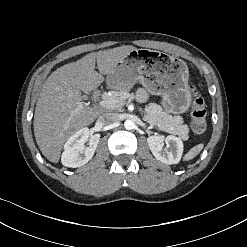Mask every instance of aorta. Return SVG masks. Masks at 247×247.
<instances>
[{"mask_svg": "<svg viewBox=\"0 0 247 247\" xmlns=\"http://www.w3.org/2000/svg\"><path fill=\"white\" fill-rule=\"evenodd\" d=\"M124 127H125L127 130H131V129H133V128L135 127V123H134L133 120L128 119V120H126V121L124 122Z\"/></svg>", "mask_w": 247, "mask_h": 247, "instance_id": "1", "label": "aorta"}]
</instances>
